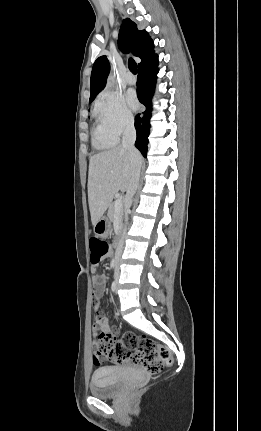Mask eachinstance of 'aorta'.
Here are the masks:
<instances>
[{"mask_svg":"<svg viewBox=\"0 0 261 431\" xmlns=\"http://www.w3.org/2000/svg\"><path fill=\"white\" fill-rule=\"evenodd\" d=\"M108 82H109V84H114V82H115V78H114V75H112V76H109V78H108Z\"/></svg>","mask_w":261,"mask_h":431,"instance_id":"aorta-1","label":"aorta"}]
</instances>
